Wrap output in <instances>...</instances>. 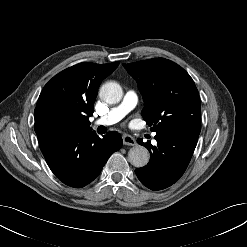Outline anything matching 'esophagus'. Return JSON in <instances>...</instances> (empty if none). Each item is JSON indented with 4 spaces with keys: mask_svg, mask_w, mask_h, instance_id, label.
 I'll use <instances>...</instances> for the list:
<instances>
[{
    "mask_svg": "<svg viewBox=\"0 0 247 247\" xmlns=\"http://www.w3.org/2000/svg\"><path fill=\"white\" fill-rule=\"evenodd\" d=\"M123 144L124 145H128V146H135L136 145V140L131 135L124 134L123 135Z\"/></svg>",
    "mask_w": 247,
    "mask_h": 247,
    "instance_id": "1",
    "label": "esophagus"
}]
</instances>
